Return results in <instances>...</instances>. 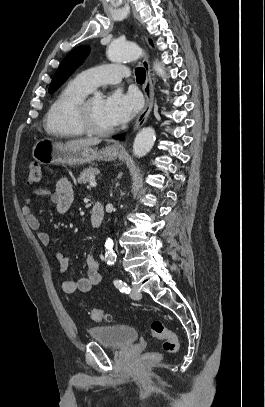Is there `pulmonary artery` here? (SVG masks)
Wrapping results in <instances>:
<instances>
[{
    "instance_id": "1",
    "label": "pulmonary artery",
    "mask_w": 265,
    "mask_h": 407,
    "mask_svg": "<svg viewBox=\"0 0 265 407\" xmlns=\"http://www.w3.org/2000/svg\"><path fill=\"white\" fill-rule=\"evenodd\" d=\"M129 76L125 66L106 64L85 70L77 79L90 90L103 84H117Z\"/></svg>"
}]
</instances>
